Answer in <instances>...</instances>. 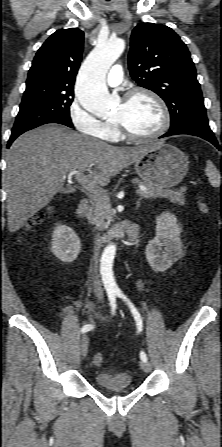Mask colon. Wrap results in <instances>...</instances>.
I'll return each instance as SVG.
<instances>
[{"mask_svg": "<svg viewBox=\"0 0 222 447\" xmlns=\"http://www.w3.org/2000/svg\"><path fill=\"white\" fill-rule=\"evenodd\" d=\"M198 203H199V208H200L201 212L206 213L207 207H206L205 203L203 202L202 196H198ZM41 220H42V217L39 216L32 221L31 225L38 224ZM103 361H104V358L101 353H96L94 355V357H93L94 364L100 365L103 363Z\"/></svg>", "mask_w": 222, "mask_h": 447, "instance_id": "obj_1", "label": "colon"}]
</instances>
